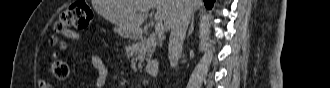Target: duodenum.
<instances>
[{
    "label": "duodenum",
    "mask_w": 330,
    "mask_h": 88,
    "mask_svg": "<svg viewBox=\"0 0 330 88\" xmlns=\"http://www.w3.org/2000/svg\"><path fill=\"white\" fill-rule=\"evenodd\" d=\"M132 38L134 40L140 39L141 35L140 34H133ZM159 69H160V64L158 62H154V61L149 62L146 66V72L149 75H152V76L156 75L159 72Z\"/></svg>",
    "instance_id": "410a0bca"
}]
</instances>
